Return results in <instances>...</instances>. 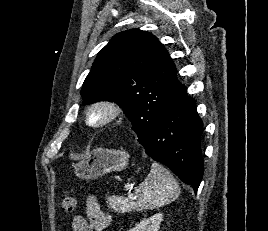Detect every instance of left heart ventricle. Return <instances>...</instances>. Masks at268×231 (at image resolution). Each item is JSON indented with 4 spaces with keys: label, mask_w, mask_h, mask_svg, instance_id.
I'll use <instances>...</instances> for the list:
<instances>
[{
    "label": "left heart ventricle",
    "mask_w": 268,
    "mask_h": 231,
    "mask_svg": "<svg viewBox=\"0 0 268 231\" xmlns=\"http://www.w3.org/2000/svg\"><path fill=\"white\" fill-rule=\"evenodd\" d=\"M100 116H101V114L99 112H94L92 114V120L95 121V120L99 119Z\"/></svg>",
    "instance_id": "left-heart-ventricle-1"
}]
</instances>
